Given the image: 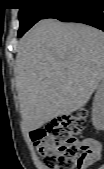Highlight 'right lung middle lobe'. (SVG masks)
<instances>
[{"mask_svg": "<svg viewBox=\"0 0 104 169\" xmlns=\"http://www.w3.org/2000/svg\"><path fill=\"white\" fill-rule=\"evenodd\" d=\"M20 28L18 36L21 37L36 22L45 17L59 4V0H19Z\"/></svg>", "mask_w": 104, "mask_h": 169, "instance_id": "1", "label": "right lung middle lobe"}]
</instances>
